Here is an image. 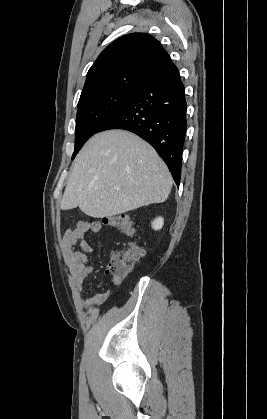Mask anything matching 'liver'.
Here are the masks:
<instances>
[{"mask_svg": "<svg viewBox=\"0 0 267 419\" xmlns=\"http://www.w3.org/2000/svg\"><path fill=\"white\" fill-rule=\"evenodd\" d=\"M172 176L154 148L137 135L108 130L94 135L77 155L60 204L103 218L164 202Z\"/></svg>", "mask_w": 267, "mask_h": 419, "instance_id": "liver-1", "label": "liver"}]
</instances>
